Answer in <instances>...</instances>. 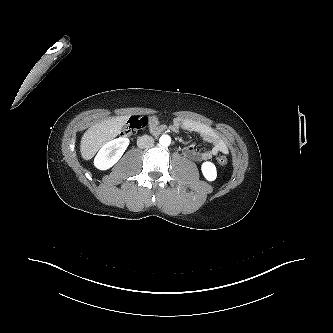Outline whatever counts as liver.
Returning a JSON list of instances; mask_svg holds the SVG:
<instances>
[{
	"label": "liver",
	"instance_id": "1",
	"mask_svg": "<svg viewBox=\"0 0 333 333\" xmlns=\"http://www.w3.org/2000/svg\"><path fill=\"white\" fill-rule=\"evenodd\" d=\"M128 120V116L110 117L91 126L83 135L80 144L81 156L90 160L106 142L115 138Z\"/></svg>",
	"mask_w": 333,
	"mask_h": 333
}]
</instances>
